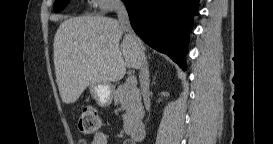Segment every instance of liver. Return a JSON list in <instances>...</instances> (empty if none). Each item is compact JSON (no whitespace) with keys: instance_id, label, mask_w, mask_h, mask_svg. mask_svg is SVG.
<instances>
[{"instance_id":"1","label":"liver","mask_w":273,"mask_h":144,"mask_svg":"<svg viewBox=\"0 0 273 144\" xmlns=\"http://www.w3.org/2000/svg\"><path fill=\"white\" fill-rule=\"evenodd\" d=\"M116 19L102 16L73 17L62 22L54 37V65L61 99L76 102L97 83L116 82L126 68L140 63L133 41ZM121 41V43H120Z\"/></svg>"}]
</instances>
